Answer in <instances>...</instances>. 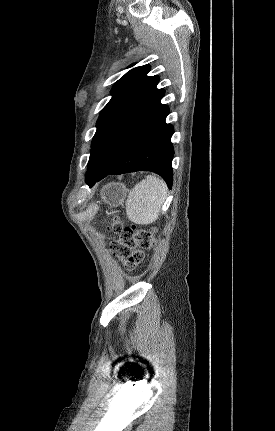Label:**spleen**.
Here are the masks:
<instances>
[{
  "label": "spleen",
  "mask_w": 275,
  "mask_h": 431,
  "mask_svg": "<svg viewBox=\"0 0 275 431\" xmlns=\"http://www.w3.org/2000/svg\"><path fill=\"white\" fill-rule=\"evenodd\" d=\"M167 191V185L162 179L153 175L147 176L128 193L126 200L128 218L141 225L156 221L167 197Z\"/></svg>",
  "instance_id": "spleen-1"
}]
</instances>
